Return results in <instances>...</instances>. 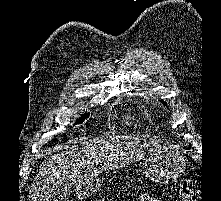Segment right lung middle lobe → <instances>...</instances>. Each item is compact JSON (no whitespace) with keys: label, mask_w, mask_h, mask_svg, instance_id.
<instances>
[{"label":"right lung middle lobe","mask_w":221,"mask_h":201,"mask_svg":"<svg viewBox=\"0 0 221 201\" xmlns=\"http://www.w3.org/2000/svg\"><path fill=\"white\" fill-rule=\"evenodd\" d=\"M88 117V114L83 115L80 119L77 120L75 124H81L83 123L84 119Z\"/></svg>","instance_id":"right-lung-middle-lobe-1"}]
</instances>
